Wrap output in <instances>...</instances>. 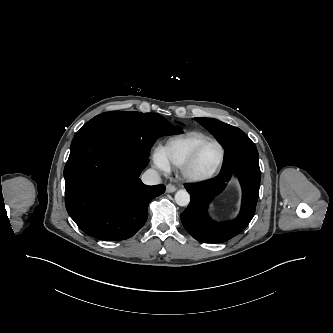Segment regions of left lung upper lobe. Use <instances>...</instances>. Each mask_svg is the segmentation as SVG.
<instances>
[{
	"label": "left lung upper lobe",
	"mask_w": 333,
	"mask_h": 333,
	"mask_svg": "<svg viewBox=\"0 0 333 333\" xmlns=\"http://www.w3.org/2000/svg\"><path fill=\"white\" fill-rule=\"evenodd\" d=\"M195 120L202 124L208 131H210L224 149L227 143L230 142L233 138L245 134L239 128L213 118H195Z\"/></svg>",
	"instance_id": "obj_1"
}]
</instances>
